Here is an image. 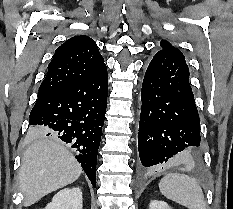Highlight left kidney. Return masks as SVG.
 Instances as JSON below:
<instances>
[{
	"label": "left kidney",
	"mask_w": 233,
	"mask_h": 209,
	"mask_svg": "<svg viewBox=\"0 0 233 209\" xmlns=\"http://www.w3.org/2000/svg\"><path fill=\"white\" fill-rule=\"evenodd\" d=\"M149 209H172L166 202L151 200Z\"/></svg>",
	"instance_id": "5707ae66"
}]
</instances>
